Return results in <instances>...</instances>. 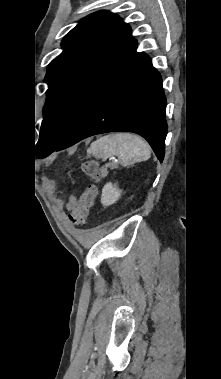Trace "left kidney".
Instances as JSON below:
<instances>
[{"instance_id":"left-kidney-1","label":"left kidney","mask_w":221,"mask_h":379,"mask_svg":"<svg viewBox=\"0 0 221 379\" xmlns=\"http://www.w3.org/2000/svg\"><path fill=\"white\" fill-rule=\"evenodd\" d=\"M121 196V191L112 183H107L102 189L101 203L109 206L115 203Z\"/></svg>"}]
</instances>
